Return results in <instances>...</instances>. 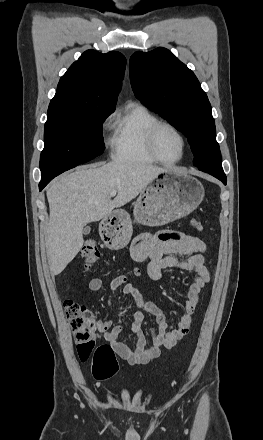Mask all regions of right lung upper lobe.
Returning a JSON list of instances; mask_svg holds the SVG:
<instances>
[{
    "label": "right lung upper lobe",
    "mask_w": 263,
    "mask_h": 440,
    "mask_svg": "<svg viewBox=\"0 0 263 440\" xmlns=\"http://www.w3.org/2000/svg\"><path fill=\"white\" fill-rule=\"evenodd\" d=\"M126 66L125 57L87 50L61 77L48 117L115 110Z\"/></svg>",
    "instance_id": "1"
}]
</instances>
